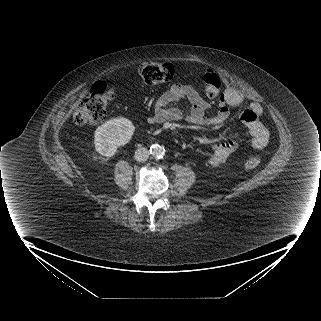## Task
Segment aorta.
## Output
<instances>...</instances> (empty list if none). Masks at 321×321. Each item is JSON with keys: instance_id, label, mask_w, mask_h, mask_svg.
Returning a JSON list of instances; mask_svg holds the SVG:
<instances>
[{"instance_id": "762f6f07", "label": "aorta", "mask_w": 321, "mask_h": 321, "mask_svg": "<svg viewBox=\"0 0 321 321\" xmlns=\"http://www.w3.org/2000/svg\"><path fill=\"white\" fill-rule=\"evenodd\" d=\"M150 153L155 158H162L165 155V148L158 144H154L150 147Z\"/></svg>"}]
</instances>
